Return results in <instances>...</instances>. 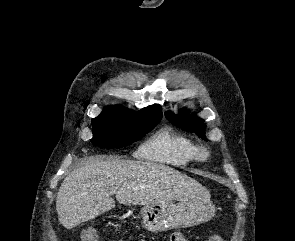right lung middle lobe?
I'll list each match as a JSON object with an SVG mask.
<instances>
[{
    "label": "right lung middle lobe",
    "mask_w": 295,
    "mask_h": 241,
    "mask_svg": "<svg viewBox=\"0 0 295 241\" xmlns=\"http://www.w3.org/2000/svg\"><path fill=\"white\" fill-rule=\"evenodd\" d=\"M161 120V117L143 111L128 110L120 105L107 106L92 119L93 138L96 146L120 148L141 139Z\"/></svg>",
    "instance_id": "obj_1"
}]
</instances>
